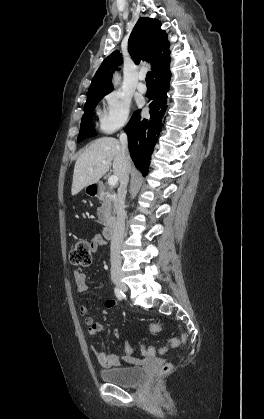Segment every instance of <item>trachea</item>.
<instances>
[{"label":"trachea","instance_id":"obj_1","mask_svg":"<svg viewBox=\"0 0 264 419\" xmlns=\"http://www.w3.org/2000/svg\"><path fill=\"white\" fill-rule=\"evenodd\" d=\"M146 83L147 85H152L151 72H148L146 75Z\"/></svg>","mask_w":264,"mask_h":419}]
</instances>
